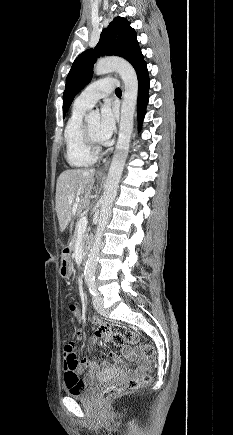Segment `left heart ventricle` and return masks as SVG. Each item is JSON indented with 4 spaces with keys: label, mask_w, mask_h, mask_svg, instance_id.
<instances>
[{
    "label": "left heart ventricle",
    "mask_w": 233,
    "mask_h": 435,
    "mask_svg": "<svg viewBox=\"0 0 233 435\" xmlns=\"http://www.w3.org/2000/svg\"><path fill=\"white\" fill-rule=\"evenodd\" d=\"M99 123H100V121H99L98 119L91 120V121H88V122H87L88 127H89V129H90V132H91L93 138H94L97 142H99V140H98Z\"/></svg>",
    "instance_id": "left-heart-ventricle-1"
}]
</instances>
